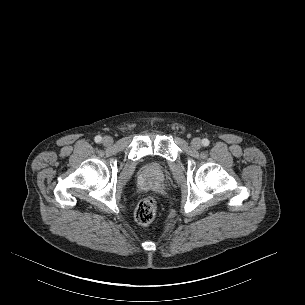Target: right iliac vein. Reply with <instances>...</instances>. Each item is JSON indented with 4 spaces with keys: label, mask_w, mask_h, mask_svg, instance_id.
Instances as JSON below:
<instances>
[{
    "label": "right iliac vein",
    "mask_w": 305,
    "mask_h": 305,
    "mask_svg": "<svg viewBox=\"0 0 305 305\" xmlns=\"http://www.w3.org/2000/svg\"><path fill=\"white\" fill-rule=\"evenodd\" d=\"M102 143L105 145V146H110L112 145L113 143V139L110 137V136H105L102 140Z\"/></svg>",
    "instance_id": "63e3f726"
}]
</instances>
